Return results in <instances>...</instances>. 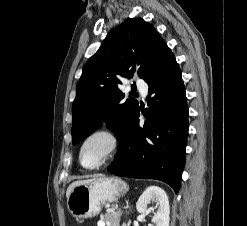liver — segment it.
<instances>
[{"instance_id": "obj_1", "label": "liver", "mask_w": 247, "mask_h": 226, "mask_svg": "<svg viewBox=\"0 0 247 226\" xmlns=\"http://www.w3.org/2000/svg\"><path fill=\"white\" fill-rule=\"evenodd\" d=\"M87 181H89V180L75 181V182L71 183V184L69 185L68 189H67L66 196H67V197L69 196L70 192L72 191V189H73L75 186H77V185H79V184H81V183H85V182H87Z\"/></svg>"}]
</instances>
